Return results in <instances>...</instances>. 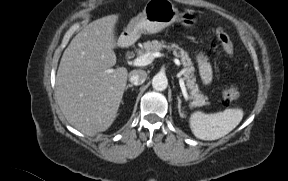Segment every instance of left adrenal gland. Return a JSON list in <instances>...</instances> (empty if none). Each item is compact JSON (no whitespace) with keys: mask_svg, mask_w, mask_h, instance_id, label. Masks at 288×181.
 <instances>
[{"mask_svg":"<svg viewBox=\"0 0 288 181\" xmlns=\"http://www.w3.org/2000/svg\"><path fill=\"white\" fill-rule=\"evenodd\" d=\"M177 100H178V112H179V115L181 117H183V113H182V110H181V99L179 97H177Z\"/></svg>","mask_w":288,"mask_h":181,"instance_id":"obj_1","label":"left adrenal gland"}]
</instances>
